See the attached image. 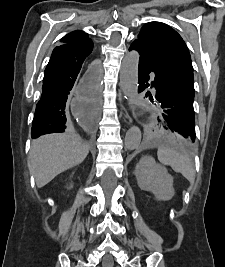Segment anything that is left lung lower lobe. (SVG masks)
Masks as SVG:
<instances>
[{"label": "left lung lower lobe", "mask_w": 225, "mask_h": 267, "mask_svg": "<svg viewBox=\"0 0 225 267\" xmlns=\"http://www.w3.org/2000/svg\"><path fill=\"white\" fill-rule=\"evenodd\" d=\"M129 50L140 54L138 66V92L149 87V73H154L152 86L156 94H145L159 110L161 122L179 132L190 144L195 142L194 80L193 69L180 63L155 61L146 55L134 41Z\"/></svg>", "instance_id": "1"}]
</instances>
